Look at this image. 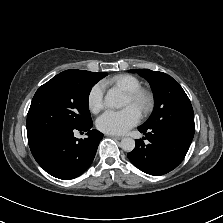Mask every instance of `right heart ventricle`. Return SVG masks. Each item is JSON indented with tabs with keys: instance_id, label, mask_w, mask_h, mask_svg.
Wrapping results in <instances>:
<instances>
[{
	"instance_id": "obj_1",
	"label": "right heart ventricle",
	"mask_w": 223,
	"mask_h": 223,
	"mask_svg": "<svg viewBox=\"0 0 223 223\" xmlns=\"http://www.w3.org/2000/svg\"><path fill=\"white\" fill-rule=\"evenodd\" d=\"M106 84L120 86L127 94L142 89L140 80L129 74L115 76L107 80Z\"/></svg>"
}]
</instances>
